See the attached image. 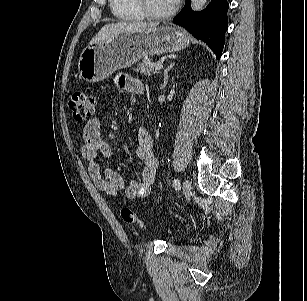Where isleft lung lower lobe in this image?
Returning a JSON list of instances; mask_svg holds the SVG:
<instances>
[{
	"mask_svg": "<svg viewBox=\"0 0 307 301\" xmlns=\"http://www.w3.org/2000/svg\"><path fill=\"white\" fill-rule=\"evenodd\" d=\"M228 8L227 0H212L203 11H192L190 0H186L184 9L173 19V23L204 41L220 59L228 27Z\"/></svg>",
	"mask_w": 307,
	"mask_h": 301,
	"instance_id": "left-lung-lower-lobe-1",
	"label": "left lung lower lobe"
}]
</instances>
